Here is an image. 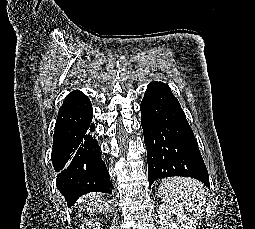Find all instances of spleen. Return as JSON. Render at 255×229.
I'll use <instances>...</instances> for the list:
<instances>
[{
  "label": "spleen",
  "instance_id": "1",
  "mask_svg": "<svg viewBox=\"0 0 255 229\" xmlns=\"http://www.w3.org/2000/svg\"><path fill=\"white\" fill-rule=\"evenodd\" d=\"M158 192L167 204L187 212L195 221L200 219L204 211L205 188L198 180L186 177L164 178Z\"/></svg>",
  "mask_w": 255,
  "mask_h": 229
}]
</instances>
